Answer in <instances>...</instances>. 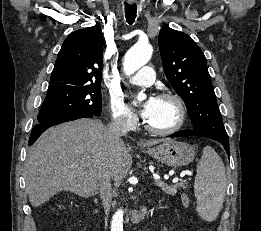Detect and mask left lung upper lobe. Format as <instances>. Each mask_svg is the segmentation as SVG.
I'll use <instances>...</instances> for the list:
<instances>
[{
	"label": "left lung upper lobe",
	"mask_w": 261,
	"mask_h": 231,
	"mask_svg": "<svg viewBox=\"0 0 261 231\" xmlns=\"http://www.w3.org/2000/svg\"><path fill=\"white\" fill-rule=\"evenodd\" d=\"M159 49L166 77L186 104L194 129L228 140L202 50L185 33L164 25Z\"/></svg>",
	"instance_id": "obj_1"
}]
</instances>
